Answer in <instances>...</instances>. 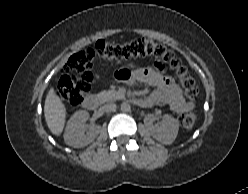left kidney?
<instances>
[{
    "mask_svg": "<svg viewBox=\"0 0 248 194\" xmlns=\"http://www.w3.org/2000/svg\"><path fill=\"white\" fill-rule=\"evenodd\" d=\"M179 130L178 121L170 115H164L161 125L150 128L151 136L157 141L168 145L176 139Z\"/></svg>",
    "mask_w": 248,
    "mask_h": 194,
    "instance_id": "obj_1",
    "label": "left kidney"
}]
</instances>
